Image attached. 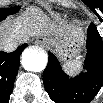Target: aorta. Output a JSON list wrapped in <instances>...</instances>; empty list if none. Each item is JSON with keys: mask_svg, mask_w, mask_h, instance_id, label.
Listing matches in <instances>:
<instances>
[{"mask_svg": "<svg viewBox=\"0 0 103 103\" xmlns=\"http://www.w3.org/2000/svg\"><path fill=\"white\" fill-rule=\"evenodd\" d=\"M47 65V54L43 51L28 48L22 53V66L25 70L40 72Z\"/></svg>", "mask_w": 103, "mask_h": 103, "instance_id": "762f6f07", "label": "aorta"}]
</instances>
